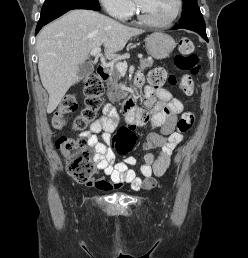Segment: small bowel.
<instances>
[{
  "instance_id": "1",
  "label": "small bowel",
  "mask_w": 248,
  "mask_h": 258,
  "mask_svg": "<svg viewBox=\"0 0 248 258\" xmlns=\"http://www.w3.org/2000/svg\"><path fill=\"white\" fill-rule=\"evenodd\" d=\"M138 87L143 85V77L138 74ZM145 106L149 111L135 108L132 115L126 118V127L134 134L136 127L149 125L151 133L143 144V150L158 148L159 152H147L140 172L141 179L131 168L136 164L134 156H128L120 162H115V156L109 146L111 134L118 125V114L115 108L107 103L103 107V115L94 120L88 131L81 135L88 140L95 150L94 163L97 170L103 171L107 179L89 180L88 184L103 191L120 188L124 184L130 185L133 191L155 190L157 179L151 176H162L169 164L175 148L182 142L183 135L176 130L177 118L183 111L182 102L173 97L165 88L146 85L144 87ZM102 133V141L97 134Z\"/></svg>"
}]
</instances>
